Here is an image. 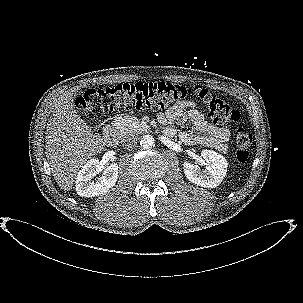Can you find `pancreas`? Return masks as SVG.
<instances>
[{
	"label": "pancreas",
	"mask_w": 303,
	"mask_h": 303,
	"mask_svg": "<svg viewBox=\"0 0 303 303\" xmlns=\"http://www.w3.org/2000/svg\"><path fill=\"white\" fill-rule=\"evenodd\" d=\"M114 127L117 129L118 136H125L131 133H140L146 130V125L142 123L137 117H119L115 123Z\"/></svg>",
	"instance_id": "cf45deb5"
}]
</instances>
